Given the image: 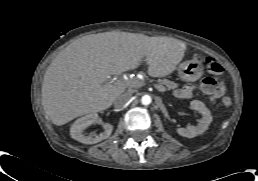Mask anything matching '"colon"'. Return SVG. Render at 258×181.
Returning <instances> with one entry per match:
<instances>
[{"instance_id":"obj_1","label":"colon","mask_w":258,"mask_h":181,"mask_svg":"<svg viewBox=\"0 0 258 181\" xmlns=\"http://www.w3.org/2000/svg\"><path fill=\"white\" fill-rule=\"evenodd\" d=\"M206 68L212 74L220 75L223 73V67L213 59H207ZM222 104L225 107L231 106L232 104L231 97L228 95H225L222 99Z\"/></svg>"}]
</instances>
